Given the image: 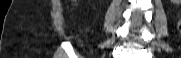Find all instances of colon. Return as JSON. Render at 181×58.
Wrapping results in <instances>:
<instances>
[{
	"label": "colon",
	"mask_w": 181,
	"mask_h": 58,
	"mask_svg": "<svg viewBox=\"0 0 181 58\" xmlns=\"http://www.w3.org/2000/svg\"><path fill=\"white\" fill-rule=\"evenodd\" d=\"M179 29H180V31H181V20H180V22H179Z\"/></svg>",
	"instance_id": "5ec220e1"
}]
</instances>
